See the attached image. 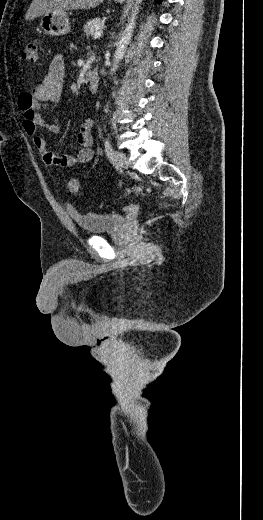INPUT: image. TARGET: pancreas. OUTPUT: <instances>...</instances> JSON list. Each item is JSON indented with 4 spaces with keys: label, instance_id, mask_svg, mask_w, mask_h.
I'll list each match as a JSON object with an SVG mask.
<instances>
[{
    "label": "pancreas",
    "instance_id": "cf45deb5",
    "mask_svg": "<svg viewBox=\"0 0 263 520\" xmlns=\"http://www.w3.org/2000/svg\"><path fill=\"white\" fill-rule=\"evenodd\" d=\"M102 22L100 18H93L84 25L83 30L87 37L93 36L99 30Z\"/></svg>",
    "mask_w": 263,
    "mask_h": 520
}]
</instances>
